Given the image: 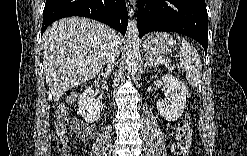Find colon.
Listing matches in <instances>:
<instances>
[{
    "label": "colon",
    "mask_w": 247,
    "mask_h": 156,
    "mask_svg": "<svg viewBox=\"0 0 247 156\" xmlns=\"http://www.w3.org/2000/svg\"><path fill=\"white\" fill-rule=\"evenodd\" d=\"M56 118V144L57 149L60 154L67 155L70 149V142L67 134V128L69 124V119L66 115L65 105H60L55 113ZM190 116H186L178 125L176 130V149L175 154L184 156L186 153V146L184 145L182 139L189 130Z\"/></svg>",
    "instance_id": "obj_1"
}]
</instances>
